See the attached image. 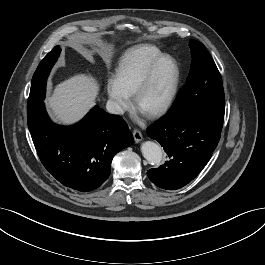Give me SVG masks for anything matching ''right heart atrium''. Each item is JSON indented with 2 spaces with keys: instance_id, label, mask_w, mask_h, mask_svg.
<instances>
[{
  "instance_id": "right-heart-atrium-1",
  "label": "right heart atrium",
  "mask_w": 265,
  "mask_h": 265,
  "mask_svg": "<svg viewBox=\"0 0 265 265\" xmlns=\"http://www.w3.org/2000/svg\"><path fill=\"white\" fill-rule=\"evenodd\" d=\"M107 94L114 109L119 113L123 112L130 104L129 96L118 88L113 78L108 80Z\"/></svg>"
}]
</instances>
